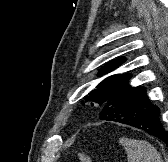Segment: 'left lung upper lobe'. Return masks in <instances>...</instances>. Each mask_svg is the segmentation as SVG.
<instances>
[{
	"mask_svg": "<svg viewBox=\"0 0 168 162\" xmlns=\"http://www.w3.org/2000/svg\"><path fill=\"white\" fill-rule=\"evenodd\" d=\"M123 62V58H119L113 60L106 64L104 67L100 69L99 75L108 73L115 68H117ZM131 78L130 74H122V75H113L105 80H103L98 86L96 91H91L89 96L85 97L86 102L92 101L97 105L102 107V111L100 113V118L103 113V110L107 104L109 96L124 85ZM91 105H94L91 103Z\"/></svg>",
	"mask_w": 168,
	"mask_h": 162,
	"instance_id": "left-lung-upper-lobe-1",
	"label": "left lung upper lobe"
}]
</instances>
